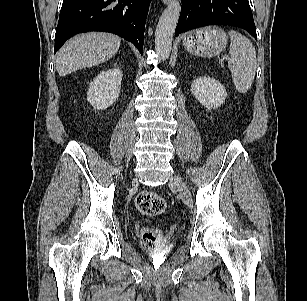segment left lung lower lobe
<instances>
[{
  "mask_svg": "<svg viewBox=\"0 0 307 301\" xmlns=\"http://www.w3.org/2000/svg\"><path fill=\"white\" fill-rule=\"evenodd\" d=\"M181 1V14L175 35L206 25H228L243 28L257 39L256 27L248 0Z\"/></svg>",
  "mask_w": 307,
  "mask_h": 301,
  "instance_id": "1",
  "label": "left lung lower lobe"
}]
</instances>
